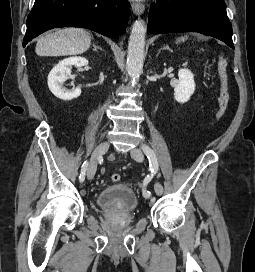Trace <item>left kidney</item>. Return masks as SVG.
Returning <instances> with one entry per match:
<instances>
[{
	"instance_id": "5707ae66",
	"label": "left kidney",
	"mask_w": 255,
	"mask_h": 272,
	"mask_svg": "<svg viewBox=\"0 0 255 272\" xmlns=\"http://www.w3.org/2000/svg\"><path fill=\"white\" fill-rule=\"evenodd\" d=\"M178 84L174 89V98L179 103L187 102L195 91V82L193 73L186 69H179Z\"/></svg>"
}]
</instances>
